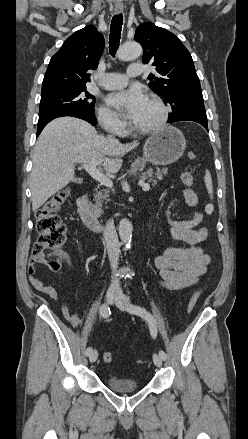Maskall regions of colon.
Returning a JSON list of instances; mask_svg holds the SVG:
<instances>
[{
  "instance_id": "colon-1",
  "label": "colon",
  "mask_w": 248,
  "mask_h": 439,
  "mask_svg": "<svg viewBox=\"0 0 248 439\" xmlns=\"http://www.w3.org/2000/svg\"><path fill=\"white\" fill-rule=\"evenodd\" d=\"M181 181L188 189L192 188L195 182L191 171H185L181 175ZM69 196V189L63 188L50 197L36 213L38 239L33 247V257L51 271H58L61 268L60 247L66 241V226L58 215L59 210ZM200 296V290L193 292L188 302L187 311L191 312ZM102 358L110 363L113 356L110 352H103Z\"/></svg>"
}]
</instances>
